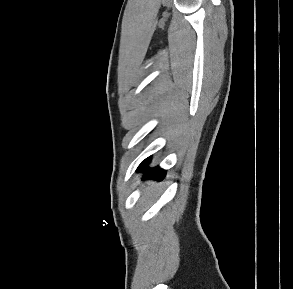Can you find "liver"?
<instances>
[{
	"mask_svg": "<svg viewBox=\"0 0 293 289\" xmlns=\"http://www.w3.org/2000/svg\"><path fill=\"white\" fill-rule=\"evenodd\" d=\"M157 187H158V184L156 183H147V188L144 192V196L146 198H149L153 194V192L157 189Z\"/></svg>",
	"mask_w": 293,
	"mask_h": 289,
	"instance_id": "6515ba94",
	"label": "liver"
}]
</instances>
